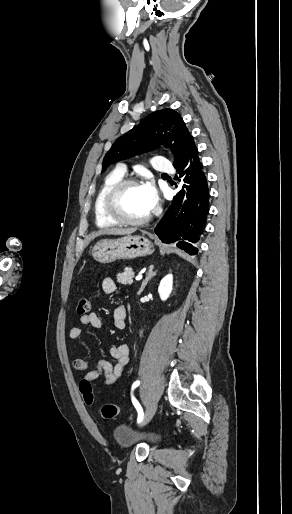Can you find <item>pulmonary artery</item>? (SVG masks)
<instances>
[{"label":"pulmonary artery","instance_id":"pulmonary-artery-1","mask_svg":"<svg viewBox=\"0 0 292 514\" xmlns=\"http://www.w3.org/2000/svg\"><path fill=\"white\" fill-rule=\"evenodd\" d=\"M153 169L156 171V172H169L170 169H171V164L169 161H166L165 158L163 156H156L153 160ZM117 171L122 174V175H125L126 172H127V169L125 167H118L117 168Z\"/></svg>","mask_w":292,"mask_h":514}]
</instances>
